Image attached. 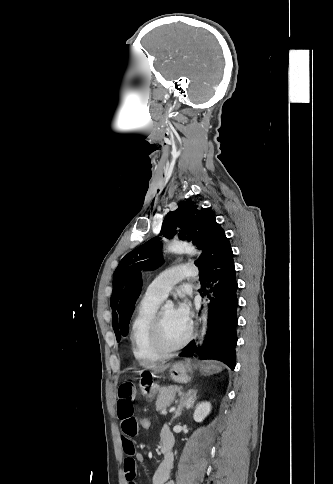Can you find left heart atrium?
Instances as JSON below:
<instances>
[{"label":"left heart atrium","instance_id":"39dd6f15","mask_svg":"<svg viewBox=\"0 0 333 484\" xmlns=\"http://www.w3.org/2000/svg\"><path fill=\"white\" fill-rule=\"evenodd\" d=\"M177 318L187 327L191 325V308L187 300L182 299L174 309Z\"/></svg>","mask_w":333,"mask_h":484}]
</instances>
